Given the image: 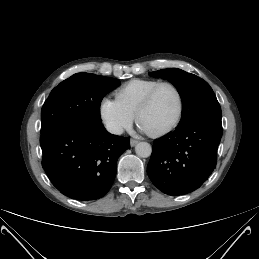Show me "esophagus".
<instances>
[{
	"mask_svg": "<svg viewBox=\"0 0 259 259\" xmlns=\"http://www.w3.org/2000/svg\"><path fill=\"white\" fill-rule=\"evenodd\" d=\"M139 141L136 139H130V145L131 147H134Z\"/></svg>",
	"mask_w": 259,
	"mask_h": 259,
	"instance_id": "34e87169",
	"label": "esophagus"
}]
</instances>
